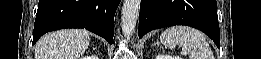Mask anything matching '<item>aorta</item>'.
Here are the masks:
<instances>
[{"label": "aorta", "mask_w": 261, "mask_h": 59, "mask_svg": "<svg viewBox=\"0 0 261 59\" xmlns=\"http://www.w3.org/2000/svg\"><path fill=\"white\" fill-rule=\"evenodd\" d=\"M140 0H124L121 10V27L126 38H130L137 24Z\"/></svg>", "instance_id": "obj_1"}]
</instances>
